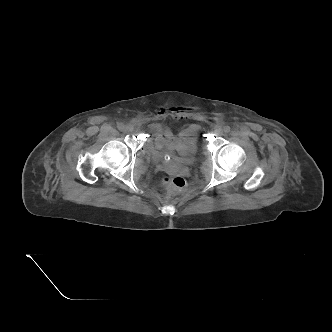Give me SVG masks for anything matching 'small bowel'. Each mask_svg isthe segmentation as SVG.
I'll use <instances>...</instances> for the list:
<instances>
[{
	"mask_svg": "<svg viewBox=\"0 0 332 332\" xmlns=\"http://www.w3.org/2000/svg\"><path fill=\"white\" fill-rule=\"evenodd\" d=\"M158 116L159 118L171 116L182 119L184 117V111L175 107L165 108L159 112ZM150 130L158 148L178 150L184 145L196 142L200 127L196 124H191L183 128L178 135H175L169 125L153 122L150 124Z\"/></svg>",
	"mask_w": 332,
	"mask_h": 332,
	"instance_id": "small-bowel-1",
	"label": "small bowel"
}]
</instances>
